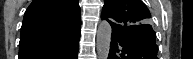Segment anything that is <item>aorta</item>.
<instances>
[{
  "label": "aorta",
  "instance_id": "obj_1",
  "mask_svg": "<svg viewBox=\"0 0 193 59\" xmlns=\"http://www.w3.org/2000/svg\"><path fill=\"white\" fill-rule=\"evenodd\" d=\"M112 29L107 21L100 22L97 30L96 48L99 59H107L110 53Z\"/></svg>",
  "mask_w": 193,
  "mask_h": 59
}]
</instances>
